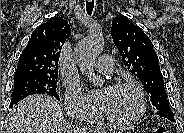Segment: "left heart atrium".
Here are the masks:
<instances>
[{"label":"left heart atrium","instance_id":"left-heart-atrium-1","mask_svg":"<svg viewBox=\"0 0 184 133\" xmlns=\"http://www.w3.org/2000/svg\"><path fill=\"white\" fill-rule=\"evenodd\" d=\"M96 102L98 104L99 107H103V105L105 104V101L107 99V91L103 90L101 92H98L94 95Z\"/></svg>","mask_w":184,"mask_h":133}]
</instances>
